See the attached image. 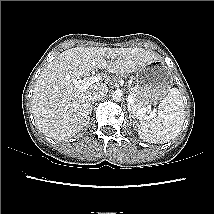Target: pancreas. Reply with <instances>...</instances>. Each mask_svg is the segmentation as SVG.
<instances>
[{"label":"pancreas","mask_w":214,"mask_h":214,"mask_svg":"<svg viewBox=\"0 0 214 214\" xmlns=\"http://www.w3.org/2000/svg\"><path fill=\"white\" fill-rule=\"evenodd\" d=\"M130 94L133 96V98H134V102H133V104H131V110L134 112V113H137L138 112V110H140L141 108H144V107H142L140 104H137L136 102H135V95H136V89L135 88H131L130 89Z\"/></svg>","instance_id":"pancreas-1"}]
</instances>
